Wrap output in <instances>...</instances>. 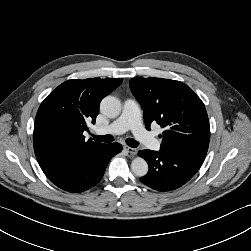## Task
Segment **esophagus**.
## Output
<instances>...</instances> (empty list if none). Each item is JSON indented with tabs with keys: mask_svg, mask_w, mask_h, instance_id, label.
<instances>
[{
	"mask_svg": "<svg viewBox=\"0 0 251 251\" xmlns=\"http://www.w3.org/2000/svg\"><path fill=\"white\" fill-rule=\"evenodd\" d=\"M124 150H126L131 155H135L137 153V149L126 146V145L124 146Z\"/></svg>",
	"mask_w": 251,
	"mask_h": 251,
	"instance_id": "34e87169",
	"label": "esophagus"
}]
</instances>
